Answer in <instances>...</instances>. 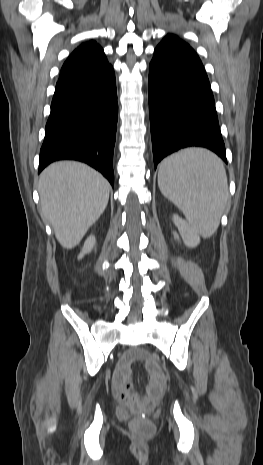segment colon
<instances>
[{
	"instance_id": "5ec220e1",
	"label": "colon",
	"mask_w": 263,
	"mask_h": 465,
	"mask_svg": "<svg viewBox=\"0 0 263 465\" xmlns=\"http://www.w3.org/2000/svg\"><path fill=\"white\" fill-rule=\"evenodd\" d=\"M147 390V397H138L130 402L132 410L137 414L131 421V427L140 434H148L152 431V424L144 413L151 412L154 409L155 400L161 394L162 387L160 385H149Z\"/></svg>"
}]
</instances>
